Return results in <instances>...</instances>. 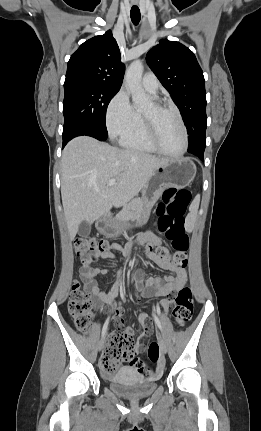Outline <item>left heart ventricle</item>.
I'll use <instances>...</instances> for the list:
<instances>
[{
    "instance_id": "obj_1",
    "label": "left heart ventricle",
    "mask_w": 261,
    "mask_h": 431,
    "mask_svg": "<svg viewBox=\"0 0 261 431\" xmlns=\"http://www.w3.org/2000/svg\"><path fill=\"white\" fill-rule=\"evenodd\" d=\"M143 113L153 118L161 147L170 154L179 153L183 148L184 140L175 113L169 110L155 111L152 104Z\"/></svg>"
}]
</instances>
